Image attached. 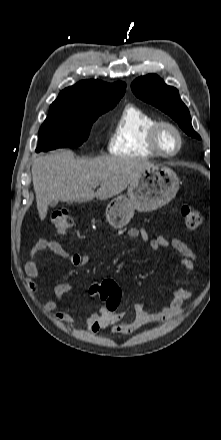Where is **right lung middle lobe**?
I'll return each instance as SVG.
<instances>
[{
  "label": "right lung middle lobe",
  "mask_w": 221,
  "mask_h": 440,
  "mask_svg": "<svg viewBox=\"0 0 221 440\" xmlns=\"http://www.w3.org/2000/svg\"><path fill=\"white\" fill-rule=\"evenodd\" d=\"M113 106L74 108L50 106L39 130L36 152L63 147H77L87 140L93 122Z\"/></svg>",
  "instance_id": "obj_1"
}]
</instances>
